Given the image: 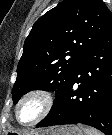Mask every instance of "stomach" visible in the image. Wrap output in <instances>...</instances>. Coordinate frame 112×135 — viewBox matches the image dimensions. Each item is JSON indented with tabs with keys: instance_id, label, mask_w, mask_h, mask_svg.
<instances>
[{
	"instance_id": "1",
	"label": "stomach",
	"mask_w": 112,
	"mask_h": 135,
	"mask_svg": "<svg viewBox=\"0 0 112 135\" xmlns=\"http://www.w3.org/2000/svg\"><path fill=\"white\" fill-rule=\"evenodd\" d=\"M7 134L21 135L20 133L11 132V131H9ZM25 135H84V134L79 126L65 125L60 127H54L43 132H31Z\"/></svg>"
}]
</instances>
